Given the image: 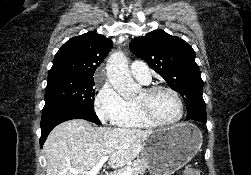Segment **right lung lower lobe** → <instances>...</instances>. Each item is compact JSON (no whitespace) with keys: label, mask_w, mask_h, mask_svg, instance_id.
Returning a JSON list of instances; mask_svg holds the SVG:
<instances>
[{"label":"right lung lower lobe","mask_w":251,"mask_h":175,"mask_svg":"<svg viewBox=\"0 0 251 175\" xmlns=\"http://www.w3.org/2000/svg\"><path fill=\"white\" fill-rule=\"evenodd\" d=\"M71 119H85L98 125L101 124L94 110L63 104L45 105L41 118L40 147L42 148L48 134L56 125Z\"/></svg>","instance_id":"right-lung-lower-lobe-1"}]
</instances>
